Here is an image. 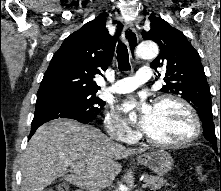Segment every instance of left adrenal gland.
<instances>
[{
	"label": "left adrenal gland",
	"instance_id": "a2214340",
	"mask_svg": "<svg viewBox=\"0 0 221 191\" xmlns=\"http://www.w3.org/2000/svg\"><path fill=\"white\" fill-rule=\"evenodd\" d=\"M137 191H143L142 189H139V190H137Z\"/></svg>",
	"mask_w": 221,
	"mask_h": 191
}]
</instances>
